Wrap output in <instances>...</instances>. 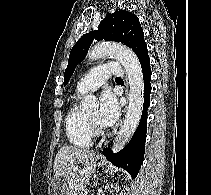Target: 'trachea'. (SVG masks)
<instances>
[{"instance_id": "3493384b", "label": "trachea", "mask_w": 211, "mask_h": 195, "mask_svg": "<svg viewBox=\"0 0 211 195\" xmlns=\"http://www.w3.org/2000/svg\"><path fill=\"white\" fill-rule=\"evenodd\" d=\"M116 81H123L120 77H116Z\"/></svg>"}]
</instances>
